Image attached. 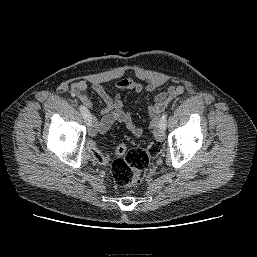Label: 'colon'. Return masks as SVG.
<instances>
[{"label": "colon", "mask_w": 257, "mask_h": 257, "mask_svg": "<svg viewBox=\"0 0 257 257\" xmlns=\"http://www.w3.org/2000/svg\"><path fill=\"white\" fill-rule=\"evenodd\" d=\"M90 152L98 162L105 160L96 146L92 145ZM115 152L117 157L111 167L114 183L119 187H131L144 179L150 162L160 154L161 145L154 140L145 149H127L126 145L121 143L116 147Z\"/></svg>", "instance_id": "1"}]
</instances>
